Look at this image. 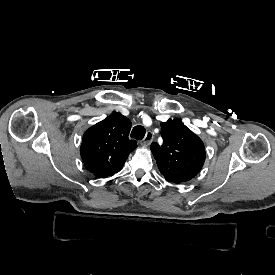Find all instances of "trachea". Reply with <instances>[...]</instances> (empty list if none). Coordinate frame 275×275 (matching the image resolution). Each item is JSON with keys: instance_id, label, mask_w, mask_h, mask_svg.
Segmentation results:
<instances>
[{"instance_id": "1", "label": "trachea", "mask_w": 275, "mask_h": 275, "mask_svg": "<svg viewBox=\"0 0 275 275\" xmlns=\"http://www.w3.org/2000/svg\"><path fill=\"white\" fill-rule=\"evenodd\" d=\"M146 130L142 125H137L132 129L131 137L137 140H142L145 136Z\"/></svg>"}]
</instances>
